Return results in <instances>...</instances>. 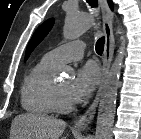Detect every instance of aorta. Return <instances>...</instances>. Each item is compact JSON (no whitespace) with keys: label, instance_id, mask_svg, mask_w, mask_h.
Segmentation results:
<instances>
[{"label":"aorta","instance_id":"obj_1","mask_svg":"<svg viewBox=\"0 0 141 139\" xmlns=\"http://www.w3.org/2000/svg\"><path fill=\"white\" fill-rule=\"evenodd\" d=\"M93 24L90 15L68 13L63 27V36L67 40H74L83 35ZM120 47L116 58L110 68L101 95L96 123L95 139H112V130L115 117L117 91L119 88V76L126 55V37L121 32Z\"/></svg>","mask_w":141,"mask_h":139}]
</instances>
